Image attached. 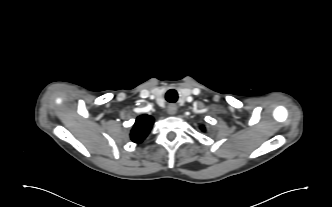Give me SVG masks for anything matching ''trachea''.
<instances>
[{
	"instance_id": "obj_1",
	"label": "trachea",
	"mask_w": 332,
	"mask_h": 207,
	"mask_svg": "<svg viewBox=\"0 0 332 207\" xmlns=\"http://www.w3.org/2000/svg\"><path fill=\"white\" fill-rule=\"evenodd\" d=\"M166 100L170 103L176 102L177 93L174 90H169L166 94Z\"/></svg>"
}]
</instances>
